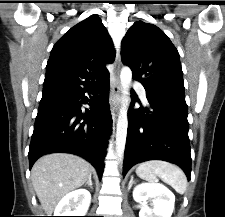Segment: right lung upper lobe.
<instances>
[{
  "label": "right lung upper lobe",
  "mask_w": 225,
  "mask_h": 217,
  "mask_svg": "<svg viewBox=\"0 0 225 217\" xmlns=\"http://www.w3.org/2000/svg\"><path fill=\"white\" fill-rule=\"evenodd\" d=\"M115 51L97 15L69 29L53 46L46 66L42 98L89 90L109 79L106 64Z\"/></svg>",
  "instance_id": "1"
}]
</instances>
